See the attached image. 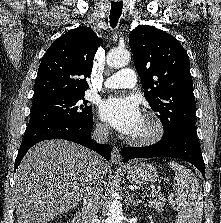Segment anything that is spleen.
Here are the masks:
<instances>
[{
    "label": "spleen",
    "instance_id": "3e777b00",
    "mask_svg": "<svg viewBox=\"0 0 221 223\" xmlns=\"http://www.w3.org/2000/svg\"><path fill=\"white\" fill-rule=\"evenodd\" d=\"M174 170L173 189L177 195L178 214L175 223H201L203 194L199 182L191 170L177 162H170Z\"/></svg>",
    "mask_w": 221,
    "mask_h": 223
}]
</instances>
